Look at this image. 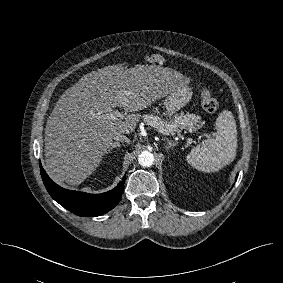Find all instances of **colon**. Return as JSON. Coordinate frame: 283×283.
<instances>
[{
    "label": "colon",
    "mask_w": 283,
    "mask_h": 283,
    "mask_svg": "<svg viewBox=\"0 0 283 283\" xmlns=\"http://www.w3.org/2000/svg\"><path fill=\"white\" fill-rule=\"evenodd\" d=\"M145 60L148 63L156 64L162 63L164 58L159 54H147L145 55ZM201 104L203 109L208 113H214L218 109V102L212 96L211 91L207 87L201 89Z\"/></svg>",
    "instance_id": "1"
}]
</instances>
